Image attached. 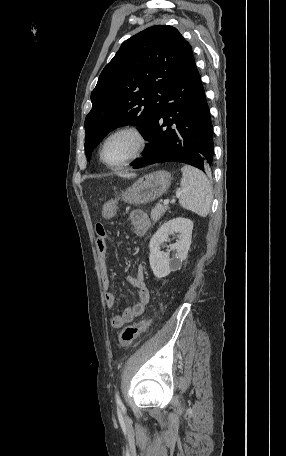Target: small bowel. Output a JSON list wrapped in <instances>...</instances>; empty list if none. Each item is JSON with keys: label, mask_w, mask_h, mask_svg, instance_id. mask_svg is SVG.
<instances>
[{"label": "small bowel", "mask_w": 286, "mask_h": 456, "mask_svg": "<svg viewBox=\"0 0 286 456\" xmlns=\"http://www.w3.org/2000/svg\"><path fill=\"white\" fill-rule=\"evenodd\" d=\"M116 205L113 203L106 204L102 209V216L104 219H111L116 213ZM129 219L132 223L136 235H144L150 228V220L146 213L141 210H133L129 214ZM96 249L101 263V279L103 287L108 290L111 286V277L105 263L107 254V231L103 224L96 225ZM128 282L138 289L140 301L133 306L125 309L122 313L114 315L110 324L113 328H121L126 323L132 321L136 317L141 316L146 304L149 300V289L146 284L145 268L142 264L136 266L135 271L128 275ZM105 302L109 308H112L116 303V296L114 293L107 291L105 293Z\"/></svg>", "instance_id": "c3829d8e"}]
</instances>
